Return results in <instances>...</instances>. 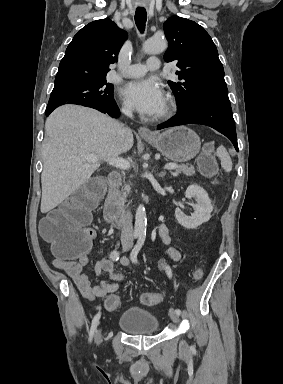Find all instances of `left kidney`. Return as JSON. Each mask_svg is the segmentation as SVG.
<instances>
[{
	"label": "left kidney",
	"mask_w": 283,
	"mask_h": 384,
	"mask_svg": "<svg viewBox=\"0 0 283 384\" xmlns=\"http://www.w3.org/2000/svg\"><path fill=\"white\" fill-rule=\"evenodd\" d=\"M185 198H189V200L196 198L197 204H191L195 212L191 216H186L180 208H176L175 216L178 224H181L183 228H188V230H194V228H198V226L210 220L213 206L207 192L203 188L196 186V184L188 186Z\"/></svg>",
	"instance_id": "obj_1"
}]
</instances>
